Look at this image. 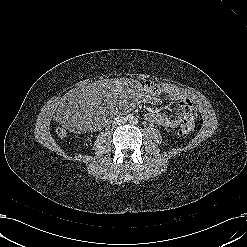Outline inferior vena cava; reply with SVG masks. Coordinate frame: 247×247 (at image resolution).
Here are the masks:
<instances>
[{
	"mask_svg": "<svg viewBox=\"0 0 247 247\" xmlns=\"http://www.w3.org/2000/svg\"><path fill=\"white\" fill-rule=\"evenodd\" d=\"M126 118L124 117H120V118H116L114 121H113V126H118V125H122L124 123H126Z\"/></svg>",
	"mask_w": 247,
	"mask_h": 247,
	"instance_id": "1",
	"label": "inferior vena cava"
}]
</instances>
